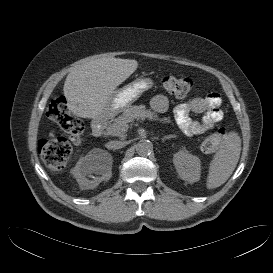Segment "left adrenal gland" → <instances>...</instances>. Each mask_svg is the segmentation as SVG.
Wrapping results in <instances>:
<instances>
[{
	"label": "left adrenal gland",
	"mask_w": 273,
	"mask_h": 273,
	"mask_svg": "<svg viewBox=\"0 0 273 273\" xmlns=\"http://www.w3.org/2000/svg\"><path fill=\"white\" fill-rule=\"evenodd\" d=\"M174 137H175V135H167V136H164V137L161 139V141L164 143L165 140H169V139L174 138Z\"/></svg>",
	"instance_id": "left-adrenal-gland-1"
}]
</instances>
